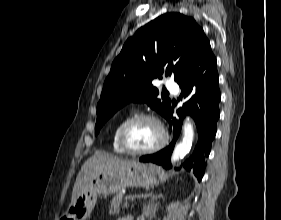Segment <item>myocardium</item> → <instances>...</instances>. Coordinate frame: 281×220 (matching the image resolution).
<instances>
[{
	"mask_svg": "<svg viewBox=\"0 0 281 220\" xmlns=\"http://www.w3.org/2000/svg\"><path fill=\"white\" fill-rule=\"evenodd\" d=\"M142 120L153 121L154 123H156L158 125L160 132H161V140L159 141V143H157L155 146H153L151 148L135 149L129 144V142L127 140V133L132 125H134L135 123L142 121ZM167 141H168V137H167L166 131H165L162 123L160 122V120L157 117H155L154 115H151V114L139 113V114L129 117L121 125V127L118 131L119 146L121 147V149L123 151H125L127 154H130V155H146V154L155 153V152L161 150L167 144Z\"/></svg>",
	"mask_w": 281,
	"mask_h": 220,
	"instance_id": "myocardium-1",
	"label": "myocardium"
}]
</instances>
